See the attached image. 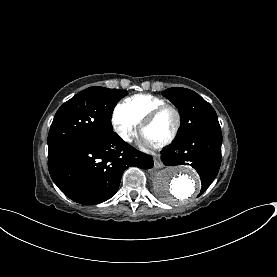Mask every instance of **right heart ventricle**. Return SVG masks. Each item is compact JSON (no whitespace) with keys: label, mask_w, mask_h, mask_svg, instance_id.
Segmentation results:
<instances>
[{"label":"right heart ventricle","mask_w":277,"mask_h":277,"mask_svg":"<svg viewBox=\"0 0 277 277\" xmlns=\"http://www.w3.org/2000/svg\"><path fill=\"white\" fill-rule=\"evenodd\" d=\"M165 103H167L166 100L156 96L136 94L127 98L119 109L140 123L150 110Z\"/></svg>","instance_id":"e07e8e85"}]
</instances>
